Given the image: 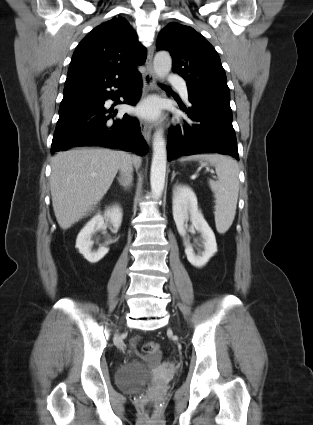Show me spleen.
I'll list each match as a JSON object with an SVG mask.
<instances>
[{
  "instance_id": "spleen-1",
  "label": "spleen",
  "mask_w": 313,
  "mask_h": 425,
  "mask_svg": "<svg viewBox=\"0 0 313 425\" xmlns=\"http://www.w3.org/2000/svg\"><path fill=\"white\" fill-rule=\"evenodd\" d=\"M201 160L215 167L218 180H209L215 197V224L219 233H225L233 223L239 193V168L237 162L220 154H201L189 157Z\"/></svg>"
}]
</instances>
